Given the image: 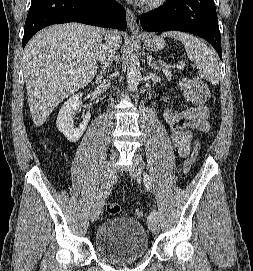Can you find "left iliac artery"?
I'll list each match as a JSON object with an SVG mask.
<instances>
[{
	"label": "left iliac artery",
	"mask_w": 253,
	"mask_h": 271,
	"mask_svg": "<svg viewBox=\"0 0 253 271\" xmlns=\"http://www.w3.org/2000/svg\"><path fill=\"white\" fill-rule=\"evenodd\" d=\"M144 183H145L146 188L148 190H150L152 183H151V179H150L149 175L146 174V173L144 174ZM150 215H153L156 218L159 217V214H158V212L156 210H152Z\"/></svg>",
	"instance_id": "obj_1"
}]
</instances>
